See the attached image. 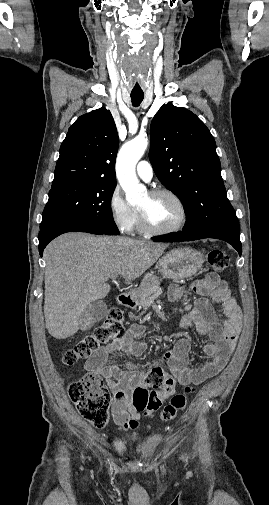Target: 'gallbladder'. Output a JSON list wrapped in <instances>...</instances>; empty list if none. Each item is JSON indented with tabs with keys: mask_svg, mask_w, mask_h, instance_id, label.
Wrapping results in <instances>:
<instances>
[{
	"mask_svg": "<svg viewBox=\"0 0 269 505\" xmlns=\"http://www.w3.org/2000/svg\"><path fill=\"white\" fill-rule=\"evenodd\" d=\"M108 314L107 303L103 300L92 302L81 315L80 329L89 330L95 323L101 321Z\"/></svg>",
	"mask_w": 269,
	"mask_h": 505,
	"instance_id": "bac80fb5",
	"label": "gallbladder"
}]
</instances>
